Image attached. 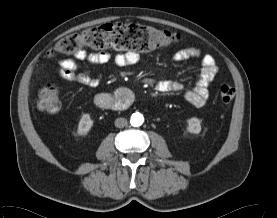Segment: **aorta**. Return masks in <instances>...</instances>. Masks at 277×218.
I'll use <instances>...</instances> for the list:
<instances>
[{
	"label": "aorta",
	"instance_id": "762f6f07",
	"mask_svg": "<svg viewBox=\"0 0 277 218\" xmlns=\"http://www.w3.org/2000/svg\"><path fill=\"white\" fill-rule=\"evenodd\" d=\"M144 122V117L142 114L140 113H134L132 114L131 118H130V123L132 126L137 127L142 125V123Z\"/></svg>",
	"mask_w": 277,
	"mask_h": 218
}]
</instances>
